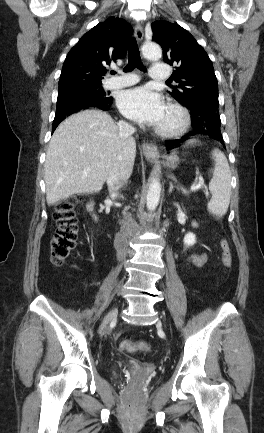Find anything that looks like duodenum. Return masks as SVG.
<instances>
[{"label": "duodenum", "instance_id": "1", "mask_svg": "<svg viewBox=\"0 0 264 433\" xmlns=\"http://www.w3.org/2000/svg\"><path fill=\"white\" fill-rule=\"evenodd\" d=\"M88 211H89V213L92 215V217L94 218V219H96V220H98L99 219V215H98V212H97V204H96V201L95 200H90L89 201V203H88Z\"/></svg>", "mask_w": 264, "mask_h": 433}]
</instances>
